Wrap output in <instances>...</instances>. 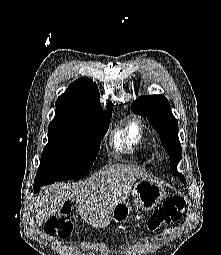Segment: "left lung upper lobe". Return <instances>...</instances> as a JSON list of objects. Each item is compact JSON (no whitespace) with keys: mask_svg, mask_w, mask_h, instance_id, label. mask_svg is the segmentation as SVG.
Returning <instances> with one entry per match:
<instances>
[{"mask_svg":"<svg viewBox=\"0 0 221 255\" xmlns=\"http://www.w3.org/2000/svg\"><path fill=\"white\" fill-rule=\"evenodd\" d=\"M134 111L147 117L160 136L161 144L169 155L171 170L177 173L186 185L185 177L176 168L181 159V145L178 138V124L171 112L170 103L162 95L140 96L132 103Z\"/></svg>","mask_w":221,"mask_h":255,"instance_id":"left-lung-upper-lobe-1","label":"left lung upper lobe"}]
</instances>
